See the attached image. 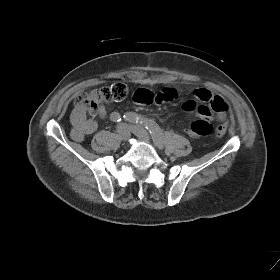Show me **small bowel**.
Here are the masks:
<instances>
[{
  "mask_svg": "<svg viewBox=\"0 0 280 280\" xmlns=\"http://www.w3.org/2000/svg\"><path fill=\"white\" fill-rule=\"evenodd\" d=\"M178 92L175 88L167 87L158 92L139 88L133 94V99L139 104H161L176 99ZM194 99L183 103V109L189 113H195L199 119L212 120L216 118L224 130L227 128L226 115L229 110L227 102L220 96L213 94L205 88L196 89L193 92ZM107 112L104 107L99 108V116L104 118ZM73 129L72 138L81 141L86 135L93 133L97 128V123L93 119L86 117L85 110L76 107L71 115ZM190 137H196L188 128L185 130Z\"/></svg>",
  "mask_w": 280,
  "mask_h": 280,
  "instance_id": "c3829d8e",
  "label": "small bowel"
}]
</instances>
